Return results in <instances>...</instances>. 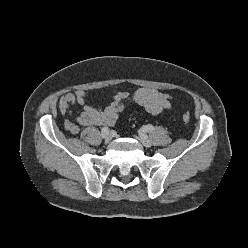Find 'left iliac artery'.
<instances>
[{
	"instance_id": "1",
	"label": "left iliac artery",
	"mask_w": 248,
	"mask_h": 248,
	"mask_svg": "<svg viewBox=\"0 0 248 248\" xmlns=\"http://www.w3.org/2000/svg\"><path fill=\"white\" fill-rule=\"evenodd\" d=\"M153 130H154V127L150 124L142 127L143 132H152Z\"/></svg>"
}]
</instances>
